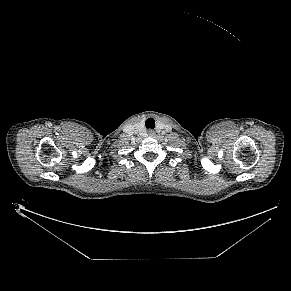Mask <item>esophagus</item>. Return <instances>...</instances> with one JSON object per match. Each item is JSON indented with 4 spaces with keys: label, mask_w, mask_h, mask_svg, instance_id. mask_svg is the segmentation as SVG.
Masks as SVG:
<instances>
[{
    "label": "esophagus",
    "mask_w": 291,
    "mask_h": 291,
    "mask_svg": "<svg viewBox=\"0 0 291 291\" xmlns=\"http://www.w3.org/2000/svg\"><path fill=\"white\" fill-rule=\"evenodd\" d=\"M149 136H154L155 132L153 130L148 131Z\"/></svg>",
    "instance_id": "34e87169"
}]
</instances>
